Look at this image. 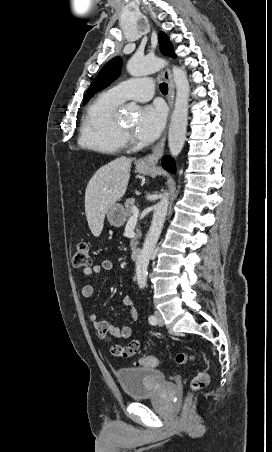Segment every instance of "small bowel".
I'll return each instance as SVG.
<instances>
[{"label":"small bowel","mask_w":272,"mask_h":452,"mask_svg":"<svg viewBox=\"0 0 272 452\" xmlns=\"http://www.w3.org/2000/svg\"><path fill=\"white\" fill-rule=\"evenodd\" d=\"M112 269H113L112 261H110L108 259H104V260H101L99 263L94 264L91 267H86L83 270V273L85 276L90 277L93 275H98L101 272H110V271H112ZM94 292H95L94 286L90 283H85L81 288V294L85 298L93 297ZM122 303L129 310L128 322L125 325H123L122 327H117V326L113 325L112 323H110L109 321L101 319L97 313L90 314L89 319H90L95 331L97 332L99 337H101L102 339L108 341L111 337L117 338V339H122V340H127V339L131 338L132 327L138 321V311H137L136 306L129 294H126L123 297ZM132 341H137L139 344V347H140V341L138 339H134ZM115 346H120V345H113L111 347V353L115 356H121L114 352Z\"/></svg>","instance_id":"1"}]
</instances>
